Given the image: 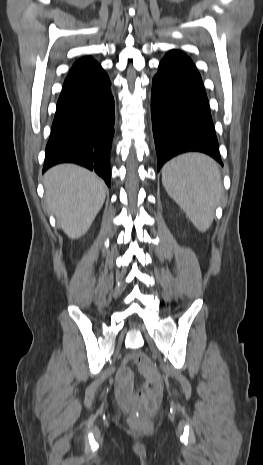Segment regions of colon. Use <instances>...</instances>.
<instances>
[{
  "label": "colon",
  "mask_w": 263,
  "mask_h": 465,
  "mask_svg": "<svg viewBox=\"0 0 263 465\" xmlns=\"http://www.w3.org/2000/svg\"><path fill=\"white\" fill-rule=\"evenodd\" d=\"M159 392L160 385L158 381L148 380L144 392L139 395L136 401L129 404L131 408L139 410L131 419L133 426L139 429H148L150 427L147 415L152 414L156 410Z\"/></svg>",
  "instance_id": "5ec220e1"
}]
</instances>
